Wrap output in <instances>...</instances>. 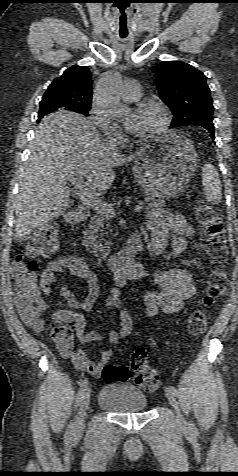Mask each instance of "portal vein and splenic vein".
Instances as JSON below:
<instances>
[{
  "label": "portal vein and splenic vein",
  "mask_w": 238,
  "mask_h": 476,
  "mask_svg": "<svg viewBox=\"0 0 238 476\" xmlns=\"http://www.w3.org/2000/svg\"><path fill=\"white\" fill-rule=\"evenodd\" d=\"M70 181L74 186L76 195L87 205L95 209L98 213L106 218H113L116 211L112 204H108L101 200L95 192L92 191L87 183L82 181L81 177H71ZM144 202H139L134 211L140 212L144 209Z\"/></svg>",
  "instance_id": "1"
}]
</instances>
